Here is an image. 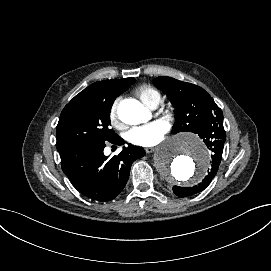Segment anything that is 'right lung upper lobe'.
I'll use <instances>...</instances> for the list:
<instances>
[{
	"mask_svg": "<svg viewBox=\"0 0 271 271\" xmlns=\"http://www.w3.org/2000/svg\"><path fill=\"white\" fill-rule=\"evenodd\" d=\"M105 81H106V80H105ZM101 82H103V81L95 82V83H93L92 85H95V84H98V83H101ZM92 85H90V86H92Z\"/></svg>",
	"mask_w": 271,
	"mask_h": 271,
	"instance_id": "obj_1",
	"label": "right lung upper lobe"
}]
</instances>
